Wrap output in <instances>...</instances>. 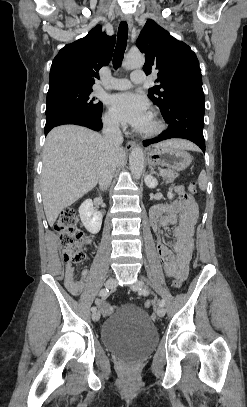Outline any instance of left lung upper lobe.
Here are the masks:
<instances>
[{"instance_id": "1", "label": "left lung upper lobe", "mask_w": 247, "mask_h": 407, "mask_svg": "<svg viewBox=\"0 0 247 407\" xmlns=\"http://www.w3.org/2000/svg\"><path fill=\"white\" fill-rule=\"evenodd\" d=\"M136 45L145 53L143 66L148 75L157 71L158 85L149 89L148 97L161 109L162 116L181 104L205 105L198 59L189 46L149 19Z\"/></svg>"}]
</instances>
